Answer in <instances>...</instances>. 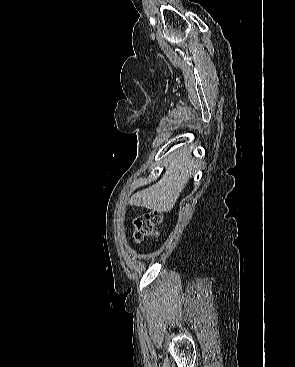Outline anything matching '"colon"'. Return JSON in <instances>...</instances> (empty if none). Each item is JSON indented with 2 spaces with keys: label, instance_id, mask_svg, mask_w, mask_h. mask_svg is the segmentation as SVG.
Listing matches in <instances>:
<instances>
[{
  "label": "colon",
  "instance_id": "1",
  "mask_svg": "<svg viewBox=\"0 0 295 367\" xmlns=\"http://www.w3.org/2000/svg\"><path fill=\"white\" fill-rule=\"evenodd\" d=\"M162 221L159 212L151 211L135 219V239L138 242L157 234V227Z\"/></svg>",
  "mask_w": 295,
  "mask_h": 367
}]
</instances>
